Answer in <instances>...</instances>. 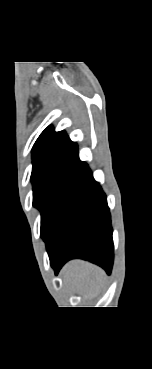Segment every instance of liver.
<instances>
[{
	"label": "liver",
	"mask_w": 152,
	"mask_h": 369,
	"mask_svg": "<svg viewBox=\"0 0 152 369\" xmlns=\"http://www.w3.org/2000/svg\"><path fill=\"white\" fill-rule=\"evenodd\" d=\"M61 273L64 281L71 282L77 293L90 298L99 293L105 277L101 268L81 260L69 262Z\"/></svg>",
	"instance_id": "liver-1"
}]
</instances>
